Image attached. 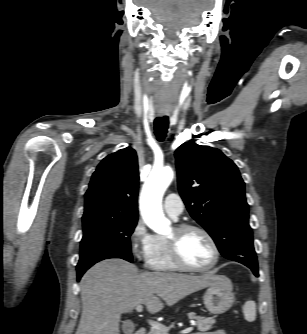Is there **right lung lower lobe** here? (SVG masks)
Instances as JSON below:
<instances>
[{
  "mask_svg": "<svg viewBox=\"0 0 307 334\" xmlns=\"http://www.w3.org/2000/svg\"><path fill=\"white\" fill-rule=\"evenodd\" d=\"M83 275V273H77V279L78 281L80 280L81 276Z\"/></svg>",
  "mask_w": 307,
  "mask_h": 334,
  "instance_id": "obj_1",
  "label": "right lung lower lobe"
}]
</instances>
